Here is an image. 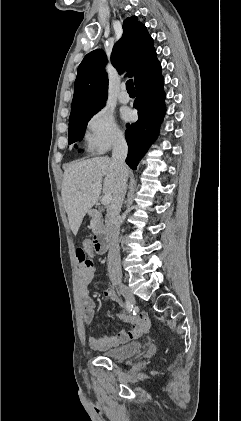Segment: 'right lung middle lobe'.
Instances as JSON below:
<instances>
[{
  "instance_id": "obj_1",
  "label": "right lung middle lobe",
  "mask_w": 241,
  "mask_h": 421,
  "mask_svg": "<svg viewBox=\"0 0 241 421\" xmlns=\"http://www.w3.org/2000/svg\"><path fill=\"white\" fill-rule=\"evenodd\" d=\"M94 114L95 113L69 119V131H68L69 144L76 141H81L83 139L87 122L91 119V117Z\"/></svg>"
}]
</instances>
